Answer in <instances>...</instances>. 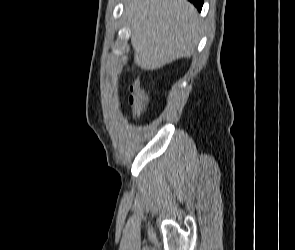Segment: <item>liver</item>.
Segmentation results:
<instances>
[{
	"instance_id": "liver-1",
	"label": "liver",
	"mask_w": 295,
	"mask_h": 250,
	"mask_svg": "<svg viewBox=\"0 0 295 250\" xmlns=\"http://www.w3.org/2000/svg\"><path fill=\"white\" fill-rule=\"evenodd\" d=\"M137 64L156 70L194 54L201 22L187 0H125Z\"/></svg>"
}]
</instances>
